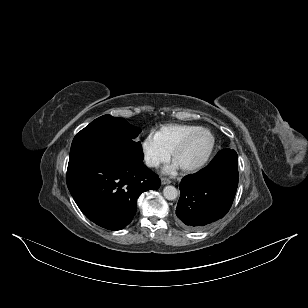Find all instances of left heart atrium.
<instances>
[{
    "label": "left heart atrium",
    "mask_w": 308,
    "mask_h": 308,
    "mask_svg": "<svg viewBox=\"0 0 308 308\" xmlns=\"http://www.w3.org/2000/svg\"><path fill=\"white\" fill-rule=\"evenodd\" d=\"M176 168H177V164L175 163V164H173L172 166L167 167V168H166V171H167V172H170V171H173V170L176 169Z\"/></svg>",
    "instance_id": "39dd6f15"
}]
</instances>
